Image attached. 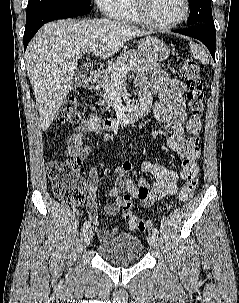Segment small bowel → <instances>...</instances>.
Returning <instances> with one entry per match:
<instances>
[{
    "label": "small bowel",
    "mask_w": 239,
    "mask_h": 303,
    "mask_svg": "<svg viewBox=\"0 0 239 303\" xmlns=\"http://www.w3.org/2000/svg\"><path fill=\"white\" fill-rule=\"evenodd\" d=\"M137 87L140 91L142 103L153 109L158 122L162 125L172 126V133L168 137L167 146L182 157L186 150L185 112L182 98L185 85L180 80L169 77L165 72H157L150 79L140 77L137 81ZM88 134H101L103 141L110 139L108 133L102 132L101 118L93 115L82 122L71 134L67 141L66 155L83 162L90 151L84 145V138ZM134 169L135 165L132 162H124L115 168L116 182L109 191V196L115 198V201L104 206L106 214L115 215L119 213L122 207V200L119 195L122 191L131 193L143 207H151L164 196L175 195L178 192V173L174 169L144 160L141 164V171L151 174L155 179L154 183H150L144 178H140L137 183H134L127 176ZM99 179L97 168L91 167L88 178L89 196L86 209L99 238L103 241H109L119 234L120 226L115 225L109 229L99 225L96 197Z\"/></svg>",
    "instance_id": "c3829d8e"
}]
</instances>
